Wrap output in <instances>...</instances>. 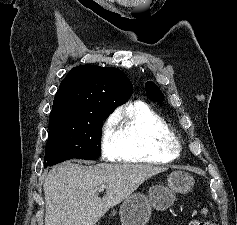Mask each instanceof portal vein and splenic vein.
<instances>
[{"instance_id": "1", "label": "portal vein and splenic vein", "mask_w": 237, "mask_h": 225, "mask_svg": "<svg viewBox=\"0 0 237 225\" xmlns=\"http://www.w3.org/2000/svg\"><path fill=\"white\" fill-rule=\"evenodd\" d=\"M105 189V185H102L101 187L98 188V192H102Z\"/></svg>"}]
</instances>
